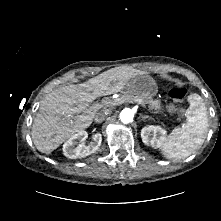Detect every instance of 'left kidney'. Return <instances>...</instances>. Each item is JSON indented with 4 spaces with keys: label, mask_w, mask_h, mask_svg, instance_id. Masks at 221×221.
Segmentation results:
<instances>
[{
    "label": "left kidney",
    "mask_w": 221,
    "mask_h": 221,
    "mask_svg": "<svg viewBox=\"0 0 221 221\" xmlns=\"http://www.w3.org/2000/svg\"><path fill=\"white\" fill-rule=\"evenodd\" d=\"M166 130L160 126L149 125L141 130V138L144 144L151 145L154 148L162 146L166 137Z\"/></svg>",
    "instance_id": "1"
}]
</instances>
